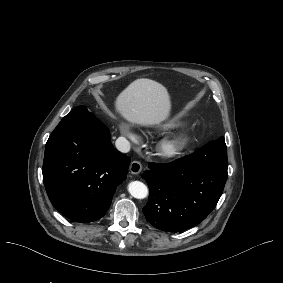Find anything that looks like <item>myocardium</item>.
Segmentation results:
<instances>
[{
	"mask_svg": "<svg viewBox=\"0 0 283 283\" xmlns=\"http://www.w3.org/2000/svg\"><path fill=\"white\" fill-rule=\"evenodd\" d=\"M159 147L163 162H175L185 155L189 147V136L184 129L165 135L159 140Z\"/></svg>",
	"mask_w": 283,
	"mask_h": 283,
	"instance_id": "1",
	"label": "myocardium"
}]
</instances>
